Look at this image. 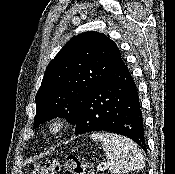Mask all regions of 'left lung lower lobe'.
<instances>
[{"label":"left lung lower lobe","mask_w":175,"mask_h":174,"mask_svg":"<svg viewBox=\"0 0 175 174\" xmlns=\"http://www.w3.org/2000/svg\"><path fill=\"white\" fill-rule=\"evenodd\" d=\"M75 135L107 131L134 140L147 153L136 84L122 59L83 97L74 121Z\"/></svg>","instance_id":"1"}]
</instances>
